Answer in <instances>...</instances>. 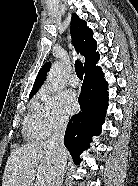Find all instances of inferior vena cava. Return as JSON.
Returning <instances> with one entry per match:
<instances>
[{"label":"inferior vena cava","mask_w":138,"mask_h":186,"mask_svg":"<svg viewBox=\"0 0 138 186\" xmlns=\"http://www.w3.org/2000/svg\"><path fill=\"white\" fill-rule=\"evenodd\" d=\"M67 121H60L55 127L54 133L48 140V145L55 151V160L49 173L47 186H61V180L66 166V148L64 135Z\"/></svg>","instance_id":"602c4592"}]
</instances>
